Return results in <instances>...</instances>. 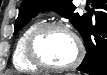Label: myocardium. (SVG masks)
<instances>
[{
    "label": "myocardium",
    "mask_w": 107,
    "mask_h": 75,
    "mask_svg": "<svg viewBox=\"0 0 107 75\" xmlns=\"http://www.w3.org/2000/svg\"><path fill=\"white\" fill-rule=\"evenodd\" d=\"M61 30L69 34L75 42L76 55L74 59L65 65H53L46 61L38 50L40 39L49 31ZM26 56L28 60L38 68L51 71H65L75 68L83 57V46L80 40L75 36L70 29L64 24L57 22L44 23L36 27L28 36L25 46Z\"/></svg>",
    "instance_id": "myocardium-1"
}]
</instances>
